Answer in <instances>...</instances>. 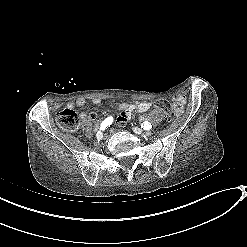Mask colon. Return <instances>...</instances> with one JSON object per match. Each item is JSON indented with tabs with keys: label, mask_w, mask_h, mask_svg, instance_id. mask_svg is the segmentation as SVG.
I'll list each match as a JSON object with an SVG mask.
<instances>
[{
	"label": "colon",
	"mask_w": 247,
	"mask_h": 247,
	"mask_svg": "<svg viewBox=\"0 0 247 247\" xmlns=\"http://www.w3.org/2000/svg\"><path fill=\"white\" fill-rule=\"evenodd\" d=\"M155 107L163 112L167 118H171L173 116V106L168 101L158 100ZM56 117L58 124L68 131L76 130L80 125V118L77 112L72 109L66 108L60 110L58 111Z\"/></svg>",
	"instance_id": "1"
}]
</instances>
